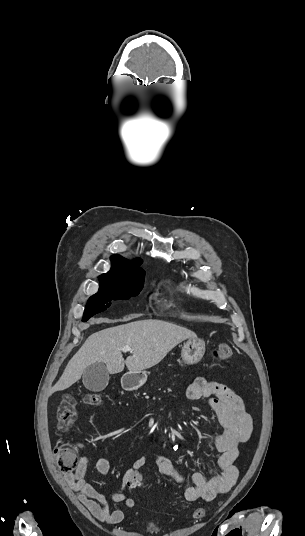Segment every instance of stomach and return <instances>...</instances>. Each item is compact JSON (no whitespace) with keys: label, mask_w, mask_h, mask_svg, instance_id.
I'll return each mask as SVG.
<instances>
[{"label":"stomach","mask_w":305,"mask_h":536,"mask_svg":"<svg viewBox=\"0 0 305 536\" xmlns=\"http://www.w3.org/2000/svg\"><path fill=\"white\" fill-rule=\"evenodd\" d=\"M205 354V342L199 338H189L184 342L181 350V358L185 364H197ZM130 388H140L147 380L146 374H128Z\"/></svg>","instance_id":"0dacf381"}]
</instances>
